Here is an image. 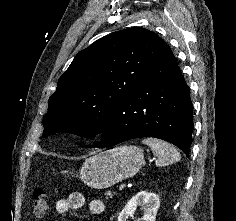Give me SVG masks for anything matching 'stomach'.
Here are the masks:
<instances>
[{"label":"stomach","instance_id":"1","mask_svg":"<svg viewBox=\"0 0 236 221\" xmlns=\"http://www.w3.org/2000/svg\"><path fill=\"white\" fill-rule=\"evenodd\" d=\"M143 164L142 149L134 145L120 146L87 158L77 177L91 188L104 189L134 176Z\"/></svg>","mask_w":236,"mask_h":221}]
</instances>
